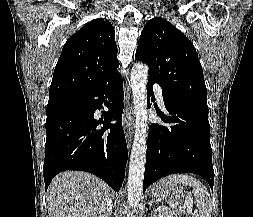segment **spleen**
Masks as SVG:
<instances>
[{"label": "spleen", "mask_w": 253, "mask_h": 217, "mask_svg": "<svg viewBox=\"0 0 253 217\" xmlns=\"http://www.w3.org/2000/svg\"><path fill=\"white\" fill-rule=\"evenodd\" d=\"M169 179L176 184L191 186L195 197L194 204L197 208L196 217H211L212 205L207 188L196 178L186 174H173ZM193 201L190 202L192 204Z\"/></svg>", "instance_id": "obj_1"}]
</instances>
